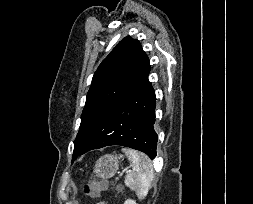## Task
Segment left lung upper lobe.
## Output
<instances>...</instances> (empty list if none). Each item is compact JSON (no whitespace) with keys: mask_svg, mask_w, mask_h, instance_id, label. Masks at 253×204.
<instances>
[{"mask_svg":"<svg viewBox=\"0 0 253 204\" xmlns=\"http://www.w3.org/2000/svg\"><path fill=\"white\" fill-rule=\"evenodd\" d=\"M149 59L138 40L122 39L94 73L74 141L75 156L87 143L93 124L125 100L150 72Z\"/></svg>","mask_w":253,"mask_h":204,"instance_id":"left-lung-upper-lobe-1","label":"left lung upper lobe"}]
</instances>
